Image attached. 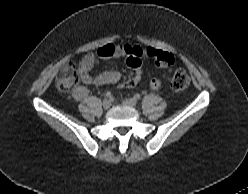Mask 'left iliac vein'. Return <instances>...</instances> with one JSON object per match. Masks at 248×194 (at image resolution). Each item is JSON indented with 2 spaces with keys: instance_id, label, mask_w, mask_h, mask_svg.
<instances>
[{
  "instance_id": "4c4485c4",
  "label": "left iliac vein",
  "mask_w": 248,
  "mask_h": 194,
  "mask_svg": "<svg viewBox=\"0 0 248 194\" xmlns=\"http://www.w3.org/2000/svg\"><path fill=\"white\" fill-rule=\"evenodd\" d=\"M124 105L130 106V107H135L137 105V102L133 98H128L123 101Z\"/></svg>"
}]
</instances>
